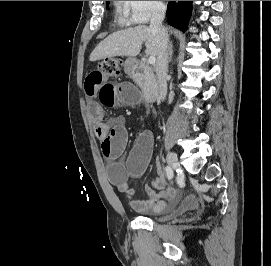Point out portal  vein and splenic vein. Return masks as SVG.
I'll return each mask as SVG.
<instances>
[{
	"mask_svg": "<svg viewBox=\"0 0 271 266\" xmlns=\"http://www.w3.org/2000/svg\"><path fill=\"white\" fill-rule=\"evenodd\" d=\"M155 62H156L155 56H150V57L148 58V63H149V64L153 65V64H155Z\"/></svg>",
	"mask_w": 271,
	"mask_h": 266,
	"instance_id": "1",
	"label": "portal vein and splenic vein"
}]
</instances>
